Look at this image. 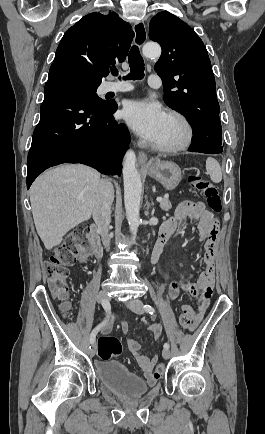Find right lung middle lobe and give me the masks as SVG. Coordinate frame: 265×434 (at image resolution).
Listing matches in <instances>:
<instances>
[{
	"label": "right lung middle lobe",
	"instance_id": "dd1d6c3e",
	"mask_svg": "<svg viewBox=\"0 0 265 434\" xmlns=\"http://www.w3.org/2000/svg\"><path fill=\"white\" fill-rule=\"evenodd\" d=\"M51 80H62L71 83L80 84L81 86H83V89L86 95L88 96L89 100L91 101V103H93L97 107L104 106L109 103H114V101H105L97 96L96 89L101 82L96 81L94 79L83 77V76L60 74V75L49 76L48 81Z\"/></svg>",
	"mask_w": 265,
	"mask_h": 434
}]
</instances>
